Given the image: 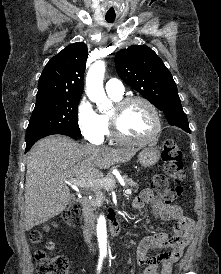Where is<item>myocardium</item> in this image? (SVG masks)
<instances>
[{"instance_id": "obj_1", "label": "myocardium", "mask_w": 221, "mask_h": 274, "mask_svg": "<svg viewBox=\"0 0 221 274\" xmlns=\"http://www.w3.org/2000/svg\"><path fill=\"white\" fill-rule=\"evenodd\" d=\"M134 102L143 103L150 110L153 117V121H154V127L151 133L147 137L141 138V139H133L125 136L121 132L120 126H119L120 113L128 105ZM113 109H114L113 112L108 115L110 131L113 138L120 143L128 144V145H145L154 141L161 131V117L157 107L149 99L143 96L134 95V96H128V97L122 98L115 103Z\"/></svg>"}]
</instances>
